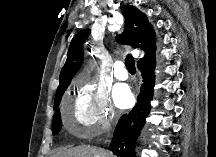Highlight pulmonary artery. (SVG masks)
<instances>
[{"label":"pulmonary artery","instance_id":"1","mask_svg":"<svg viewBox=\"0 0 216 157\" xmlns=\"http://www.w3.org/2000/svg\"><path fill=\"white\" fill-rule=\"evenodd\" d=\"M114 76L118 80H126L128 73L125 67V64L122 61H116L113 65Z\"/></svg>","mask_w":216,"mask_h":157}]
</instances>
